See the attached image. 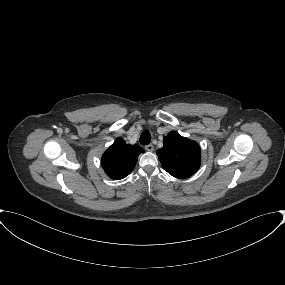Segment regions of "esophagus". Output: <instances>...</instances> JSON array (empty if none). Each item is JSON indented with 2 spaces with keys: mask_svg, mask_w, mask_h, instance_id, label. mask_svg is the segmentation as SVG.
Returning a JSON list of instances; mask_svg holds the SVG:
<instances>
[{
  "mask_svg": "<svg viewBox=\"0 0 285 285\" xmlns=\"http://www.w3.org/2000/svg\"><path fill=\"white\" fill-rule=\"evenodd\" d=\"M145 149L149 152L153 151L154 150V146L152 144H148L145 146Z\"/></svg>",
  "mask_w": 285,
  "mask_h": 285,
  "instance_id": "1",
  "label": "esophagus"
}]
</instances>
